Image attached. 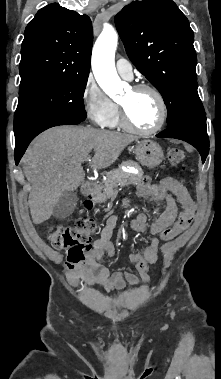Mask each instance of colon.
<instances>
[{"mask_svg":"<svg viewBox=\"0 0 221 379\" xmlns=\"http://www.w3.org/2000/svg\"><path fill=\"white\" fill-rule=\"evenodd\" d=\"M168 160L173 166H182L186 160V154L182 149L170 148ZM85 210H91L93 202L85 200L83 202ZM195 205L192 204L184 208L179 214L174 225L161 232L164 241L171 240L186 230L193 222ZM96 228L93 217L85 216L78 219L71 226H58L49 230L48 238L50 243L56 248L65 250L67 253V266L71 270H81L89 263L91 245V235Z\"/></svg>","mask_w":221,"mask_h":379,"instance_id":"colon-1","label":"colon"}]
</instances>
